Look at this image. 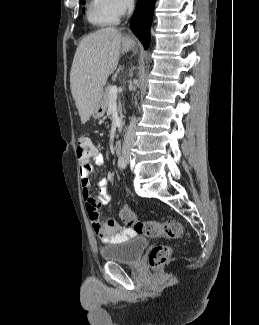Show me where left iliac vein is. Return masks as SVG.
Returning <instances> with one entry per match:
<instances>
[{
  "instance_id": "4c4485c4",
  "label": "left iliac vein",
  "mask_w": 259,
  "mask_h": 325,
  "mask_svg": "<svg viewBox=\"0 0 259 325\" xmlns=\"http://www.w3.org/2000/svg\"><path fill=\"white\" fill-rule=\"evenodd\" d=\"M127 162H129V158H127Z\"/></svg>"
}]
</instances>
